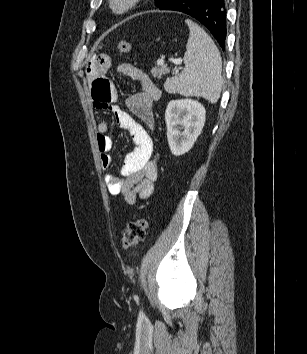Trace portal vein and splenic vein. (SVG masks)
I'll use <instances>...</instances> for the list:
<instances>
[{
    "label": "portal vein and splenic vein",
    "instance_id": "obj_1",
    "mask_svg": "<svg viewBox=\"0 0 307 354\" xmlns=\"http://www.w3.org/2000/svg\"><path fill=\"white\" fill-rule=\"evenodd\" d=\"M170 62L174 63L175 65H180L182 63V59H169ZM158 64L163 65L164 61L163 60H159Z\"/></svg>",
    "mask_w": 307,
    "mask_h": 354
}]
</instances>
